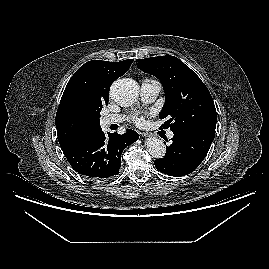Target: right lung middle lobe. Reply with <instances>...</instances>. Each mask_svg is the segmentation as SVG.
<instances>
[{
  "label": "right lung middle lobe",
  "mask_w": 269,
  "mask_h": 269,
  "mask_svg": "<svg viewBox=\"0 0 269 269\" xmlns=\"http://www.w3.org/2000/svg\"><path fill=\"white\" fill-rule=\"evenodd\" d=\"M103 104H95L90 107L89 112L95 123L99 124L100 111L102 110Z\"/></svg>",
  "instance_id": "right-lung-middle-lobe-1"
}]
</instances>
